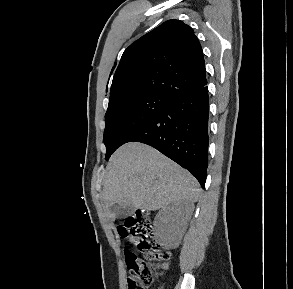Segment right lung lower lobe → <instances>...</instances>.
<instances>
[{
	"instance_id": "obj_1",
	"label": "right lung lower lobe",
	"mask_w": 293,
	"mask_h": 289,
	"mask_svg": "<svg viewBox=\"0 0 293 289\" xmlns=\"http://www.w3.org/2000/svg\"><path fill=\"white\" fill-rule=\"evenodd\" d=\"M208 87L172 101L128 142L148 144L186 168L205 185L208 166Z\"/></svg>"
}]
</instances>
